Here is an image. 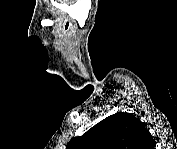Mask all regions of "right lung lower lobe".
I'll return each instance as SVG.
<instances>
[{
  "label": "right lung lower lobe",
  "mask_w": 177,
  "mask_h": 149,
  "mask_svg": "<svg viewBox=\"0 0 177 149\" xmlns=\"http://www.w3.org/2000/svg\"><path fill=\"white\" fill-rule=\"evenodd\" d=\"M145 139H147V141H148L149 143L152 141V143H153L152 147L155 146V142H154V140H153V138H152V136H151L150 133H149V135H147V136L145 137Z\"/></svg>",
  "instance_id": "obj_1"
}]
</instances>
